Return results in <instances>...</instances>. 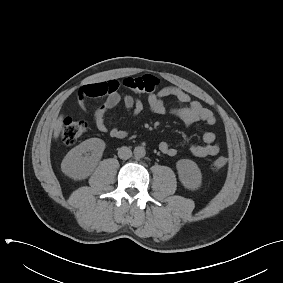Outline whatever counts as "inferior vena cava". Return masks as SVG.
<instances>
[{
	"label": "inferior vena cava",
	"instance_id": "inferior-vena-cava-1",
	"mask_svg": "<svg viewBox=\"0 0 283 283\" xmlns=\"http://www.w3.org/2000/svg\"><path fill=\"white\" fill-rule=\"evenodd\" d=\"M118 156L120 159L127 160L132 156V151L130 148L123 146L118 150Z\"/></svg>",
	"mask_w": 283,
	"mask_h": 283
}]
</instances>
